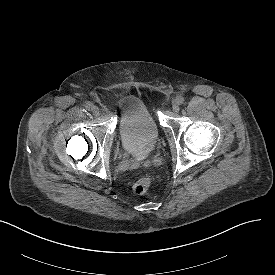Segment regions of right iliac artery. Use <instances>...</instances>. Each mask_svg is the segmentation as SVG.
<instances>
[{
    "mask_svg": "<svg viewBox=\"0 0 275 275\" xmlns=\"http://www.w3.org/2000/svg\"><path fill=\"white\" fill-rule=\"evenodd\" d=\"M92 106H93V104H92L91 102H87L86 105H85V108H86L88 111H90V110H92Z\"/></svg>",
    "mask_w": 275,
    "mask_h": 275,
    "instance_id": "82829eb1",
    "label": "right iliac artery"
}]
</instances>
